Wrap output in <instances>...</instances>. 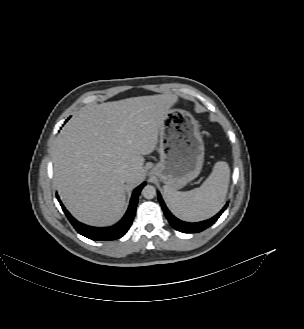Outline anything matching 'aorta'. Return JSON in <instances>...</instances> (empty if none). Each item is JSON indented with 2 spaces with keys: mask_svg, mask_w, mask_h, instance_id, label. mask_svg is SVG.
I'll return each mask as SVG.
<instances>
[{
  "mask_svg": "<svg viewBox=\"0 0 304 329\" xmlns=\"http://www.w3.org/2000/svg\"><path fill=\"white\" fill-rule=\"evenodd\" d=\"M142 195L146 199H152L156 196V189L152 185H146L142 190Z\"/></svg>",
  "mask_w": 304,
  "mask_h": 329,
  "instance_id": "aorta-1",
  "label": "aorta"
}]
</instances>
